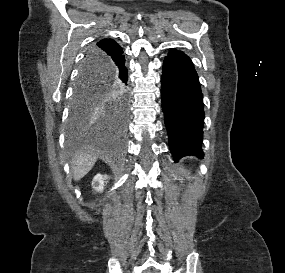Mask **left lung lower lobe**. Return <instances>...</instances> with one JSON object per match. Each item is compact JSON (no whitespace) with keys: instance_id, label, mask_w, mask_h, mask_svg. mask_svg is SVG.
<instances>
[{"instance_id":"0a47b994","label":"left lung lower lobe","mask_w":285,"mask_h":273,"mask_svg":"<svg viewBox=\"0 0 285 273\" xmlns=\"http://www.w3.org/2000/svg\"><path fill=\"white\" fill-rule=\"evenodd\" d=\"M162 108L173 158H202L204 111L199 78L190 58L172 50L163 63Z\"/></svg>"}]
</instances>
